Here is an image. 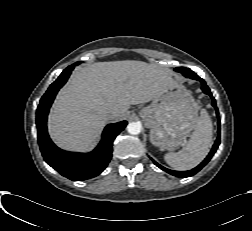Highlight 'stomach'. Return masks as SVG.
<instances>
[{"label": "stomach", "mask_w": 252, "mask_h": 231, "mask_svg": "<svg viewBox=\"0 0 252 231\" xmlns=\"http://www.w3.org/2000/svg\"><path fill=\"white\" fill-rule=\"evenodd\" d=\"M150 128V141L161 149L180 146L195 128L198 106L190 92L175 84L139 112Z\"/></svg>", "instance_id": "obj_1"}]
</instances>
